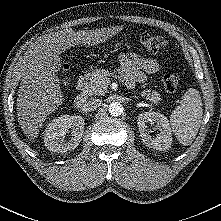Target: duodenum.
Masks as SVG:
<instances>
[{
    "label": "duodenum",
    "instance_id": "410a0bca",
    "mask_svg": "<svg viewBox=\"0 0 221 221\" xmlns=\"http://www.w3.org/2000/svg\"><path fill=\"white\" fill-rule=\"evenodd\" d=\"M88 78H89V75L87 73H84L81 76H79L77 80L76 87L78 90V95L74 102V107L76 109H82L86 103L87 97L84 91H85Z\"/></svg>",
    "mask_w": 221,
    "mask_h": 221
}]
</instances>
